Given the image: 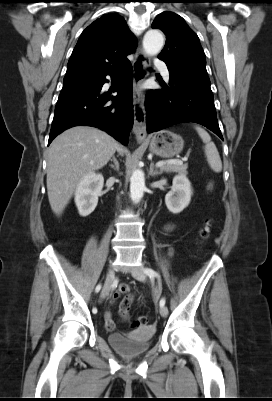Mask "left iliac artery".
Segmentation results:
<instances>
[{"label":"left iliac artery","mask_w":272,"mask_h":401,"mask_svg":"<svg viewBox=\"0 0 272 401\" xmlns=\"http://www.w3.org/2000/svg\"><path fill=\"white\" fill-rule=\"evenodd\" d=\"M144 273L146 275H148L150 279H153L154 277H159V274L155 270H153L151 268H145L144 269ZM164 305H165V299L162 298L160 300V306H164Z\"/></svg>","instance_id":"44dca946"}]
</instances>
